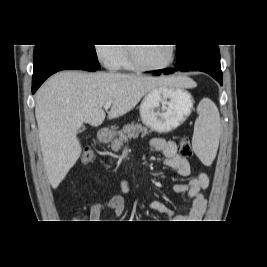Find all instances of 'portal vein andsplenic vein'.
<instances>
[{
	"label": "portal vein and splenic vein",
	"mask_w": 267,
	"mask_h": 267,
	"mask_svg": "<svg viewBox=\"0 0 267 267\" xmlns=\"http://www.w3.org/2000/svg\"><path fill=\"white\" fill-rule=\"evenodd\" d=\"M112 102L109 101L104 105L105 110H108L111 107Z\"/></svg>",
	"instance_id": "portal-vein-and-splenic-vein-1"
}]
</instances>
